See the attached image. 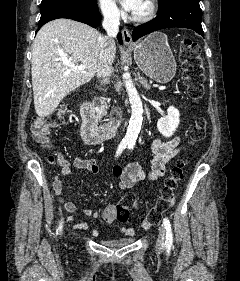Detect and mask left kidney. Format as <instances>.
<instances>
[{
	"label": "left kidney",
	"instance_id": "1",
	"mask_svg": "<svg viewBox=\"0 0 240 281\" xmlns=\"http://www.w3.org/2000/svg\"><path fill=\"white\" fill-rule=\"evenodd\" d=\"M179 117V111L175 107L170 106L167 110V115L160 118L157 122L158 131L165 137L172 136L179 125Z\"/></svg>",
	"mask_w": 240,
	"mask_h": 281
}]
</instances>
